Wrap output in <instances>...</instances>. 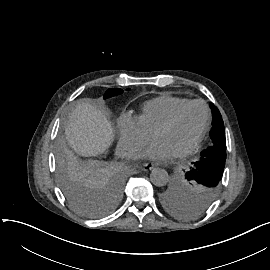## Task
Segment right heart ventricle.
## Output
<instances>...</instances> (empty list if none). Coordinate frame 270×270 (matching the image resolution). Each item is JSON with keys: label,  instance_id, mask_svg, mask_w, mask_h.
Here are the masks:
<instances>
[{"label": "right heart ventricle", "instance_id": "right-heart-ventricle-1", "mask_svg": "<svg viewBox=\"0 0 270 270\" xmlns=\"http://www.w3.org/2000/svg\"><path fill=\"white\" fill-rule=\"evenodd\" d=\"M188 102L185 98L159 96L144 103L135 119L144 132L152 134L161 123Z\"/></svg>", "mask_w": 270, "mask_h": 270}]
</instances>
